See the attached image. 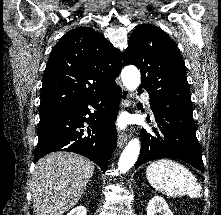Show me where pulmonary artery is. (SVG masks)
Listing matches in <instances>:
<instances>
[{
    "instance_id": "1",
    "label": "pulmonary artery",
    "mask_w": 221,
    "mask_h": 215,
    "mask_svg": "<svg viewBox=\"0 0 221 215\" xmlns=\"http://www.w3.org/2000/svg\"><path fill=\"white\" fill-rule=\"evenodd\" d=\"M144 98L146 99V104H147L148 108H150V102H149L148 98L146 96H144Z\"/></svg>"
}]
</instances>
